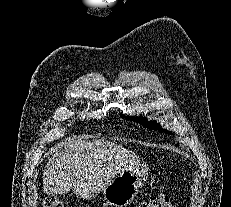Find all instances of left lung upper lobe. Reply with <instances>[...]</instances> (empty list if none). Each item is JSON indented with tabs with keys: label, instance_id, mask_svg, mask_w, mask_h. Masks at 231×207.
<instances>
[{
	"label": "left lung upper lobe",
	"instance_id": "1",
	"mask_svg": "<svg viewBox=\"0 0 231 207\" xmlns=\"http://www.w3.org/2000/svg\"><path fill=\"white\" fill-rule=\"evenodd\" d=\"M125 117L128 118V119H131V120H133V121H135V122H138V123H140L142 126L147 127V128H149V129L159 130V131H162V132H166V133H170V134H171L170 131L165 130V129H162V128L159 126V124H157L156 122H154V121L148 122L147 118H145V117H135V116H131V117H130V116H125Z\"/></svg>",
	"mask_w": 231,
	"mask_h": 207
}]
</instances>
